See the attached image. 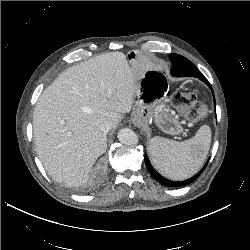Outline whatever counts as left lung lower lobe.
Returning a JSON list of instances; mask_svg holds the SVG:
<instances>
[{
    "label": "left lung lower lobe",
    "instance_id": "0a47b994",
    "mask_svg": "<svg viewBox=\"0 0 250 250\" xmlns=\"http://www.w3.org/2000/svg\"><path fill=\"white\" fill-rule=\"evenodd\" d=\"M170 59L172 61L171 74L173 76H176V77L192 76V77L199 78L200 80L205 82L212 90L210 83L207 81L204 75L188 59L178 54H170ZM144 159H145L147 169L150 172V174L153 176V178H155L159 183L165 186H169V187H180V186H185V185L192 183L201 175V173L204 171L209 161L208 159L204 167L195 176L191 177L190 179H187L184 181H172L161 176L152 167L146 154L144 156Z\"/></svg>",
    "mask_w": 250,
    "mask_h": 250
}]
</instances>
